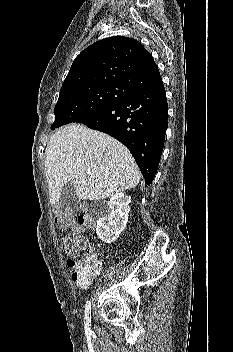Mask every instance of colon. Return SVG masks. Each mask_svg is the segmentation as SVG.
I'll use <instances>...</instances> for the list:
<instances>
[{
    "instance_id": "obj_1",
    "label": "colon",
    "mask_w": 233,
    "mask_h": 352,
    "mask_svg": "<svg viewBox=\"0 0 233 352\" xmlns=\"http://www.w3.org/2000/svg\"><path fill=\"white\" fill-rule=\"evenodd\" d=\"M57 225L61 228L71 227L75 235L62 239L63 250L72 257H77L84 251L86 255L78 260H72V277L87 281L98 275L101 271V263L91 254L88 240L82 235L83 227L93 228L95 219L88 210H84L78 217L77 223L64 214L57 216Z\"/></svg>"
}]
</instances>
